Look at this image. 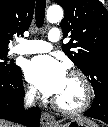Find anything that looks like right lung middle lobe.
Listing matches in <instances>:
<instances>
[{"instance_id": "1", "label": "right lung middle lobe", "mask_w": 108, "mask_h": 127, "mask_svg": "<svg viewBox=\"0 0 108 127\" xmlns=\"http://www.w3.org/2000/svg\"><path fill=\"white\" fill-rule=\"evenodd\" d=\"M8 50H0V71L4 72H15L19 67L16 64H8L7 57Z\"/></svg>"}]
</instances>
